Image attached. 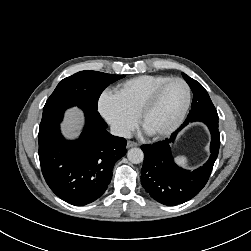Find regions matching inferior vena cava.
I'll list each match as a JSON object with an SVG mask.
<instances>
[{
  "label": "inferior vena cava",
  "instance_id": "obj_1",
  "mask_svg": "<svg viewBox=\"0 0 251 251\" xmlns=\"http://www.w3.org/2000/svg\"><path fill=\"white\" fill-rule=\"evenodd\" d=\"M110 133L114 136L131 138V132L121 126H118V125H112L110 127Z\"/></svg>",
  "mask_w": 251,
  "mask_h": 251
}]
</instances>
